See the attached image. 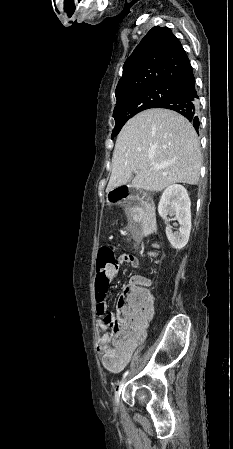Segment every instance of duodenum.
<instances>
[{
	"instance_id": "obj_1",
	"label": "duodenum",
	"mask_w": 233,
	"mask_h": 449,
	"mask_svg": "<svg viewBox=\"0 0 233 449\" xmlns=\"http://www.w3.org/2000/svg\"><path fill=\"white\" fill-rule=\"evenodd\" d=\"M127 197L133 201L142 202L143 209H134L133 213L144 230H149L152 223L151 201L150 199L138 192L133 191L132 186H114L112 188V197L108 199L110 206H125L127 204Z\"/></svg>"
}]
</instances>
